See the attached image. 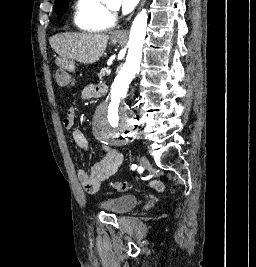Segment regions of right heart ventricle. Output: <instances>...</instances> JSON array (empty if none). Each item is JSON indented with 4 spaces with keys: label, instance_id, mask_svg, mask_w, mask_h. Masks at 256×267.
<instances>
[{
    "label": "right heart ventricle",
    "instance_id": "right-heart-ventricle-1",
    "mask_svg": "<svg viewBox=\"0 0 256 267\" xmlns=\"http://www.w3.org/2000/svg\"><path fill=\"white\" fill-rule=\"evenodd\" d=\"M78 8L86 12L82 22H76L86 36H106L101 33V25L108 11V0H79Z\"/></svg>",
    "mask_w": 256,
    "mask_h": 267
}]
</instances>
